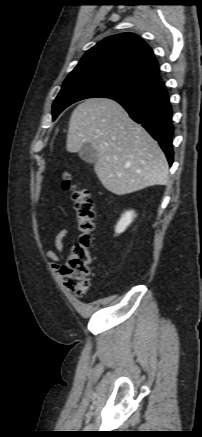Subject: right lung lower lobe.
<instances>
[{
  "mask_svg": "<svg viewBox=\"0 0 202 437\" xmlns=\"http://www.w3.org/2000/svg\"><path fill=\"white\" fill-rule=\"evenodd\" d=\"M120 103L130 117L140 123L155 138L166 154L169 164L173 163L172 107L164 83L155 82L148 90L133 96L113 99Z\"/></svg>",
  "mask_w": 202,
  "mask_h": 437,
  "instance_id": "obj_1",
  "label": "right lung lower lobe"
}]
</instances>
